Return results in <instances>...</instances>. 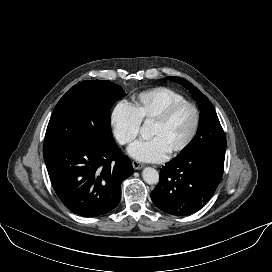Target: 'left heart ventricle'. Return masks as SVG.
Listing matches in <instances>:
<instances>
[{
  "label": "left heart ventricle",
  "mask_w": 272,
  "mask_h": 272,
  "mask_svg": "<svg viewBox=\"0 0 272 272\" xmlns=\"http://www.w3.org/2000/svg\"><path fill=\"white\" fill-rule=\"evenodd\" d=\"M193 122L194 116L191 109L182 108L166 123H151L149 136L158 137L166 150L170 152L185 141L192 130Z\"/></svg>",
  "instance_id": "left-heart-ventricle-1"
}]
</instances>
